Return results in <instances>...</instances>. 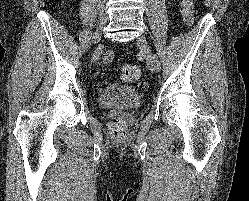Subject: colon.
Masks as SVG:
<instances>
[{"label":"colon","instance_id":"colon-1","mask_svg":"<svg viewBox=\"0 0 249 201\" xmlns=\"http://www.w3.org/2000/svg\"><path fill=\"white\" fill-rule=\"evenodd\" d=\"M181 13L186 25L190 26L194 20V0H182ZM120 77L126 82H135L140 77V70L134 64H124L120 68ZM110 128L115 138L124 139L126 122L121 117H114L110 121Z\"/></svg>","mask_w":249,"mask_h":201}]
</instances>
